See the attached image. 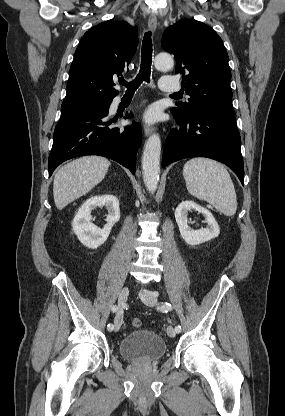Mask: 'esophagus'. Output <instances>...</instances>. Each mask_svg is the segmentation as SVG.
Returning a JSON list of instances; mask_svg holds the SVG:
<instances>
[{
	"label": "esophagus",
	"instance_id": "1",
	"mask_svg": "<svg viewBox=\"0 0 285 416\" xmlns=\"http://www.w3.org/2000/svg\"><path fill=\"white\" fill-rule=\"evenodd\" d=\"M148 28L151 32H155L157 28V17L155 14L150 15L148 19ZM154 131V128L150 125H144L145 135H150Z\"/></svg>",
	"mask_w": 285,
	"mask_h": 416
}]
</instances>
